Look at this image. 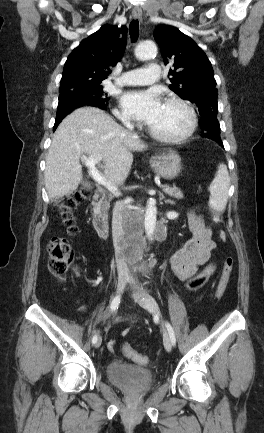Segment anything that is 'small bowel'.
<instances>
[{"mask_svg":"<svg viewBox=\"0 0 264 433\" xmlns=\"http://www.w3.org/2000/svg\"><path fill=\"white\" fill-rule=\"evenodd\" d=\"M191 237L183 242L170 258V264L176 277L186 281L193 277L198 269L207 263L215 243L212 239L211 230L205 226L201 217L190 214L188 218ZM128 329L121 332L126 335ZM115 340L108 342V349L112 351L115 347Z\"/></svg>","mask_w":264,"mask_h":433,"instance_id":"c3829d8e","label":"small bowel"}]
</instances>
